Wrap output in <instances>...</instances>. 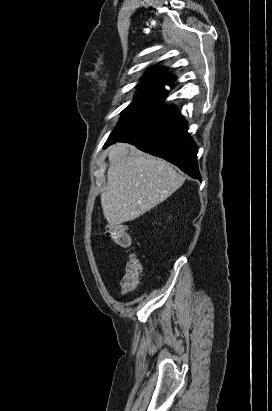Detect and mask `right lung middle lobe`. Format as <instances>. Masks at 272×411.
I'll return each instance as SVG.
<instances>
[{
	"label": "right lung middle lobe",
	"instance_id": "dd1d6c3e",
	"mask_svg": "<svg viewBox=\"0 0 272 411\" xmlns=\"http://www.w3.org/2000/svg\"><path fill=\"white\" fill-rule=\"evenodd\" d=\"M177 111V108L163 104L158 98L136 93L134 101L123 110L122 117L109 138L126 137Z\"/></svg>",
	"mask_w": 272,
	"mask_h": 411
}]
</instances>
